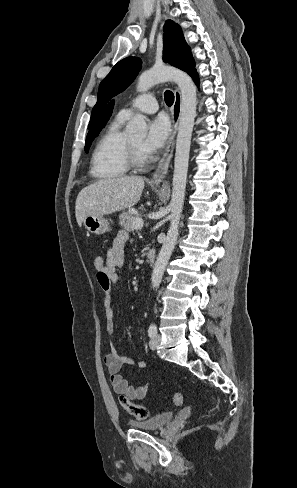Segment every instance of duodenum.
I'll use <instances>...</instances> for the list:
<instances>
[{
	"instance_id": "410a0bca",
	"label": "duodenum",
	"mask_w": 297,
	"mask_h": 488,
	"mask_svg": "<svg viewBox=\"0 0 297 488\" xmlns=\"http://www.w3.org/2000/svg\"><path fill=\"white\" fill-rule=\"evenodd\" d=\"M155 251L152 248L147 249V262L152 263L155 259Z\"/></svg>"
}]
</instances>
